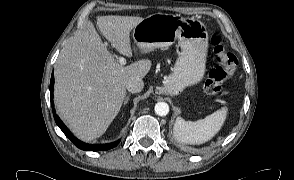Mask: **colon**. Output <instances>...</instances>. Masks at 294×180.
Returning a JSON list of instances; mask_svg holds the SVG:
<instances>
[{"label":"colon","instance_id":"5ec220e1","mask_svg":"<svg viewBox=\"0 0 294 180\" xmlns=\"http://www.w3.org/2000/svg\"><path fill=\"white\" fill-rule=\"evenodd\" d=\"M211 45L218 66L211 70L204 89L208 95L215 96L221 92L223 82L233 77L237 67V59L232 53L224 49L217 36L211 38Z\"/></svg>","mask_w":294,"mask_h":180}]
</instances>
